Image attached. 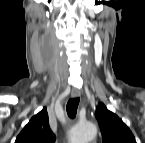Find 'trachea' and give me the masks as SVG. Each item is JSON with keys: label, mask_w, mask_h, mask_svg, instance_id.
Wrapping results in <instances>:
<instances>
[{"label": "trachea", "mask_w": 145, "mask_h": 143, "mask_svg": "<svg viewBox=\"0 0 145 143\" xmlns=\"http://www.w3.org/2000/svg\"><path fill=\"white\" fill-rule=\"evenodd\" d=\"M79 101H80L79 98H72L67 103L66 106L67 114L72 119L75 118L76 116Z\"/></svg>", "instance_id": "obj_1"}]
</instances>
